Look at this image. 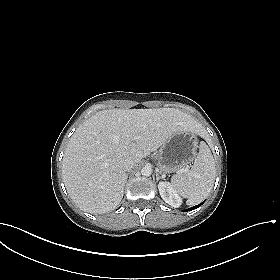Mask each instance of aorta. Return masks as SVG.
I'll use <instances>...</instances> for the list:
<instances>
[{
  "mask_svg": "<svg viewBox=\"0 0 280 280\" xmlns=\"http://www.w3.org/2000/svg\"><path fill=\"white\" fill-rule=\"evenodd\" d=\"M141 174L143 176H150L152 174V168L149 166H145L141 169Z\"/></svg>",
  "mask_w": 280,
  "mask_h": 280,
  "instance_id": "aorta-1",
  "label": "aorta"
}]
</instances>
